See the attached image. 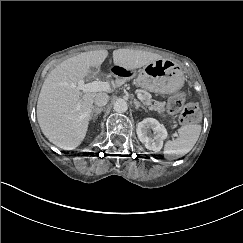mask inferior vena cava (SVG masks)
<instances>
[{
	"label": "inferior vena cava",
	"mask_w": 243,
	"mask_h": 243,
	"mask_svg": "<svg viewBox=\"0 0 243 243\" xmlns=\"http://www.w3.org/2000/svg\"><path fill=\"white\" fill-rule=\"evenodd\" d=\"M108 100H109V96L106 93H98L95 96L94 103L95 106L102 107L108 103Z\"/></svg>",
	"instance_id": "602c4592"
}]
</instances>
